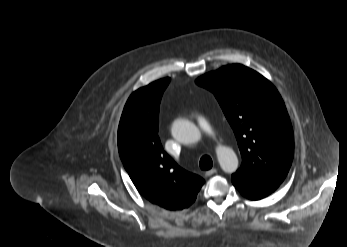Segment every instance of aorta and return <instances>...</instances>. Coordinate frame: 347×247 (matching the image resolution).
Here are the masks:
<instances>
[{"label": "aorta", "instance_id": "762f6f07", "mask_svg": "<svg viewBox=\"0 0 347 247\" xmlns=\"http://www.w3.org/2000/svg\"><path fill=\"white\" fill-rule=\"evenodd\" d=\"M172 136L184 144L196 143L201 139L200 130L195 124L186 119H177L171 127ZM216 155L221 169L226 173H233L238 168V158L235 152L226 146L216 149Z\"/></svg>", "mask_w": 347, "mask_h": 247}]
</instances>
